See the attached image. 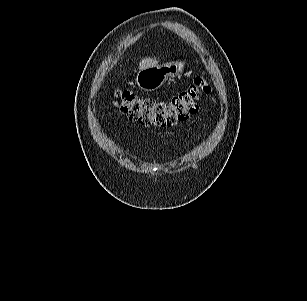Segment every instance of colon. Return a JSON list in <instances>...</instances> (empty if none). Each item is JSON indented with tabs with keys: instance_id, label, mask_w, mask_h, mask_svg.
Here are the masks:
<instances>
[{
	"instance_id": "5ec220e1",
	"label": "colon",
	"mask_w": 307,
	"mask_h": 301,
	"mask_svg": "<svg viewBox=\"0 0 307 301\" xmlns=\"http://www.w3.org/2000/svg\"><path fill=\"white\" fill-rule=\"evenodd\" d=\"M211 86L203 77H197L185 90L167 100L137 96L128 91L114 93L115 105L129 119L143 125L171 126L187 120L198 109V103Z\"/></svg>"
}]
</instances>
